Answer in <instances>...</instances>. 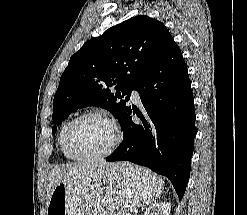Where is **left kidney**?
<instances>
[{
  "label": "left kidney",
  "mask_w": 247,
  "mask_h": 215,
  "mask_svg": "<svg viewBox=\"0 0 247 215\" xmlns=\"http://www.w3.org/2000/svg\"><path fill=\"white\" fill-rule=\"evenodd\" d=\"M171 205L169 202L154 203L146 209L144 215H170Z\"/></svg>",
  "instance_id": "1"
}]
</instances>
